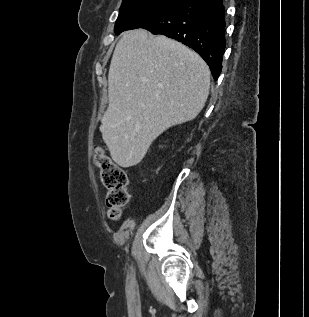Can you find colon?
Listing matches in <instances>:
<instances>
[{"label": "colon", "instance_id": "obj_1", "mask_svg": "<svg viewBox=\"0 0 309 317\" xmlns=\"http://www.w3.org/2000/svg\"><path fill=\"white\" fill-rule=\"evenodd\" d=\"M95 164L100 169L101 181L107 189L108 217L117 220L130 200L127 174L101 148L95 150Z\"/></svg>", "mask_w": 309, "mask_h": 317}]
</instances>
